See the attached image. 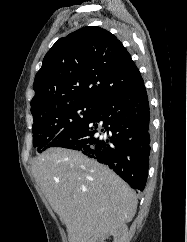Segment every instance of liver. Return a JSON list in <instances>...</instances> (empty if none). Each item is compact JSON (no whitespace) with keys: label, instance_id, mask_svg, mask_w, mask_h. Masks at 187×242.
<instances>
[{"label":"liver","instance_id":"1","mask_svg":"<svg viewBox=\"0 0 187 242\" xmlns=\"http://www.w3.org/2000/svg\"><path fill=\"white\" fill-rule=\"evenodd\" d=\"M32 173L66 225L69 242H89L136 213L135 192L107 166L78 151L48 149L33 161Z\"/></svg>","mask_w":187,"mask_h":242}]
</instances>
